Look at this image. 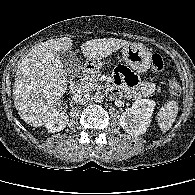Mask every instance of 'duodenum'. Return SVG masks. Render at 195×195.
I'll return each mask as SVG.
<instances>
[{"mask_svg": "<svg viewBox=\"0 0 195 195\" xmlns=\"http://www.w3.org/2000/svg\"><path fill=\"white\" fill-rule=\"evenodd\" d=\"M94 69H95V65L94 64H91V63L87 64L84 67L83 73H87V72L93 71ZM80 90H81V83H80V81L79 80L74 81L71 84V91H72V93H78Z\"/></svg>", "mask_w": 195, "mask_h": 195, "instance_id": "1", "label": "duodenum"}]
</instances>
